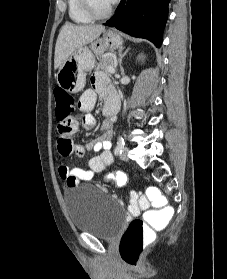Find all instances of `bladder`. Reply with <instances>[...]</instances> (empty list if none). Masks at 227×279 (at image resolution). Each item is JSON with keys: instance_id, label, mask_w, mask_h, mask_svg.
Wrapping results in <instances>:
<instances>
[{"instance_id": "bladder-1", "label": "bladder", "mask_w": 227, "mask_h": 279, "mask_svg": "<svg viewBox=\"0 0 227 279\" xmlns=\"http://www.w3.org/2000/svg\"><path fill=\"white\" fill-rule=\"evenodd\" d=\"M64 202L73 228L101 239L116 238L124 225L122 206L99 188L87 185L69 188Z\"/></svg>"}]
</instances>
